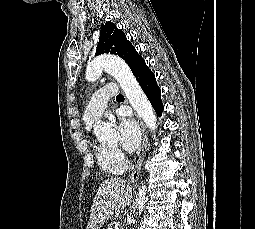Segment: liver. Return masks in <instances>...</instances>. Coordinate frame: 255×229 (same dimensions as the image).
I'll return each mask as SVG.
<instances>
[{"label":"liver","instance_id":"obj_1","mask_svg":"<svg viewBox=\"0 0 255 229\" xmlns=\"http://www.w3.org/2000/svg\"><path fill=\"white\" fill-rule=\"evenodd\" d=\"M132 188L122 178L104 180L96 193L86 229H100L118 209L131 204Z\"/></svg>","mask_w":255,"mask_h":229}]
</instances>
